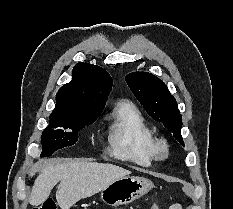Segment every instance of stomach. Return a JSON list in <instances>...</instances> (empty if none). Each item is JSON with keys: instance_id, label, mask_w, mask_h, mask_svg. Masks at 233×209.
<instances>
[{"instance_id": "stomach-1", "label": "stomach", "mask_w": 233, "mask_h": 209, "mask_svg": "<svg viewBox=\"0 0 233 209\" xmlns=\"http://www.w3.org/2000/svg\"><path fill=\"white\" fill-rule=\"evenodd\" d=\"M153 187V183L147 178L127 175L104 188L100 199L110 206L129 204L147 194Z\"/></svg>"}]
</instances>
